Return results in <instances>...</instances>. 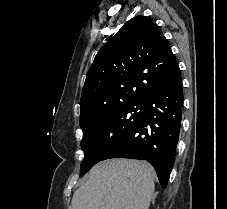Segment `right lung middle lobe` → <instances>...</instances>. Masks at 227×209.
Instances as JSON below:
<instances>
[{
	"label": "right lung middle lobe",
	"instance_id": "dd1d6c3e",
	"mask_svg": "<svg viewBox=\"0 0 227 209\" xmlns=\"http://www.w3.org/2000/svg\"><path fill=\"white\" fill-rule=\"evenodd\" d=\"M101 103L105 107L102 113L80 120L83 131L81 148L84 151L81 175L101 161L142 115V101L107 98Z\"/></svg>",
	"mask_w": 227,
	"mask_h": 209
}]
</instances>
